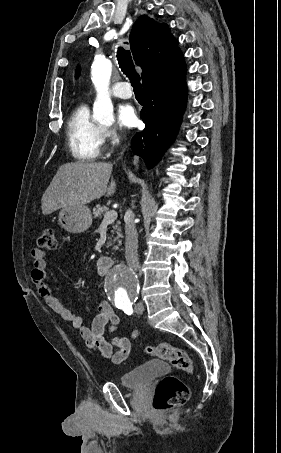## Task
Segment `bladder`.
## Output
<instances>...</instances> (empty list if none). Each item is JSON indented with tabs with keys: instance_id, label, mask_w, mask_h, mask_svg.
Instances as JSON below:
<instances>
[{
	"instance_id": "bladder-1",
	"label": "bladder",
	"mask_w": 281,
	"mask_h": 453,
	"mask_svg": "<svg viewBox=\"0 0 281 453\" xmlns=\"http://www.w3.org/2000/svg\"><path fill=\"white\" fill-rule=\"evenodd\" d=\"M168 370L169 366L165 362L150 361L122 374L120 384L126 388H139Z\"/></svg>"
}]
</instances>
